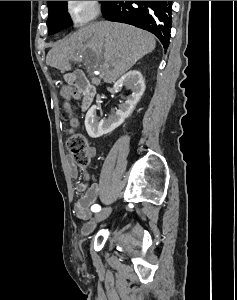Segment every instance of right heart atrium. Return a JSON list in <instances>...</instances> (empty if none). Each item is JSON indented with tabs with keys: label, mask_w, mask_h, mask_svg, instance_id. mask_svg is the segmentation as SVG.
<instances>
[{
	"label": "right heart atrium",
	"mask_w": 237,
	"mask_h": 300,
	"mask_svg": "<svg viewBox=\"0 0 237 300\" xmlns=\"http://www.w3.org/2000/svg\"><path fill=\"white\" fill-rule=\"evenodd\" d=\"M66 10L75 26L94 20L100 12L99 1H66Z\"/></svg>",
	"instance_id": "obj_1"
}]
</instances>
